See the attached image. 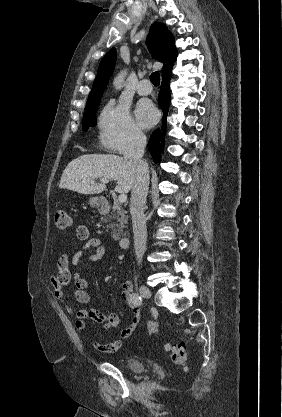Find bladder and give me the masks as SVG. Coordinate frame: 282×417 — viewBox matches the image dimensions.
<instances>
[{
	"label": "bladder",
	"instance_id": "31cf9c89",
	"mask_svg": "<svg viewBox=\"0 0 282 417\" xmlns=\"http://www.w3.org/2000/svg\"><path fill=\"white\" fill-rule=\"evenodd\" d=\"M123 365L126 369L133 373H142L145 371L144 362L136 357H127L123 360Z\"/></svg>",
	"mask_w": 282,
	"mask_h": 417
}]
</instances>
